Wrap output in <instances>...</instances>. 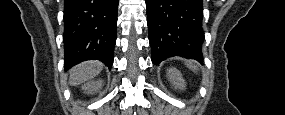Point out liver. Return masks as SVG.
Segmentation results:
<instances>
[{
    "mask_svg": "<svg viewBox=\"0 0 285 115\" xmlns=\"http://www.w3.org/2000/svg\"><path fill=\"white\" fill-rule=\"evenodd\" d=\"M103 68V64L98 61H87L73 67L69 74V84L71 86L79 85L87 80L97 76Z\"/></svg>",
    "mask_w": 285,
    "mask_h": 115,
    "instance_id": "liver-1",
    "label": "liver"
}]
</instances>
